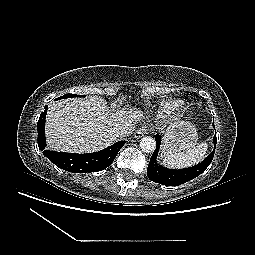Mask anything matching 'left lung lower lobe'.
Masks as SVG:
<instances>
[{
	"mask_svg": "<svg viewBox=\"0 0 255 255\" xmlns=\"http://www.w3.org/2000/svg\"><path fill=\"white\" fill-rule=\"evenodd\" d=\"M214 126V125H213ZM155 140L157 147L155 151L153 152L148 168H147V176L150 180L153 182L166 185V186H178L183 183H186L197 176H199L202 172L206 170V168L210 165L212 162L214 152H215V147H216V135L214 136V150L212 153L201 163L198 165H195L193 167L189 168H184V169H168L165 168L159 164H157V156L159 153L160 149V144H161V135H155Z\"/></svg>",
	"mask_w": 255,
	"mask_h": 255,
	"instance_id": "left-lung-lower-lobe-1",
	"label": "left lung lower lobe"
}]
</instances>
